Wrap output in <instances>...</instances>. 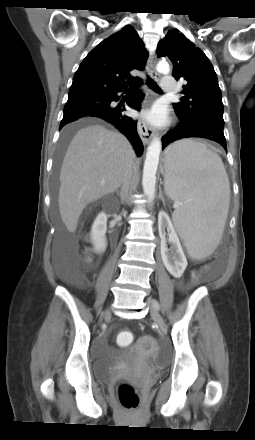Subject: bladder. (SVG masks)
<instances>
[{"label":"bladder","mask_w":255,"mask_h":440,"mask_svg":"<svg viewBox=\"0 0 255 440\" xmlns=\"http://www.w3.org/2000/svg\"><path fill=\"white\" fill-rule=\"evenodd\" d=\"M147 343L144 339H140L136 346L124 351L121 354H112L108 357H102L95 361V375L97 379L107 381L114 371L117 369L119 361L137 363L140 361H146L152 364L155 358L147 356Z\"/></svg>","instance_id":"bladder-1"}]
</instances>
